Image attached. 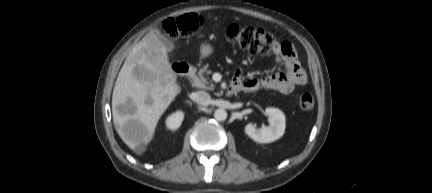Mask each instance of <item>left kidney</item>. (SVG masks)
<instances>
[{
  "label": "left kidney",
  "mask_w": 432,
  "mask_h": 193,
  "mask_svg": "<svg viewBox=\"0 0 432 193\" xmlns=\"http://www.w3.org/2000/svg\"><path fill=\"white\" fill-rule=\"evenodd\" d=\"M264 114L268 117V127L263 126L257 129L252 123H248L245 126V133L258 143L273 142L281 138L285 132V115L281 110L268 107L265 109Z\"/></svg>",
  "instance_id": "obj_1"
}]
</instances>
